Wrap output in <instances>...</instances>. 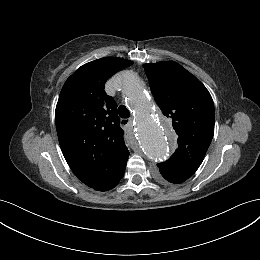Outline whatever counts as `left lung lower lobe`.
<instances>
[{"mask_svg":"<svg viewBox=\"0 0 260 260\" xmlns=\"http://www.w3.org/2000/svg\"><path fill=\"white\" fill-rule=\"evenodd\" d=\"M158 177L162 182H170L174 184H180L189 178L183 175H175V174H168V173H163L162 175L159 174Z\"/></svg>","mask_w":260,"mask_h":260,"instance_id":"obj_1","label":"left lung lower lobe"}]
</instances>
